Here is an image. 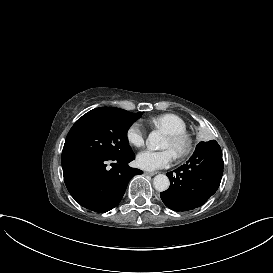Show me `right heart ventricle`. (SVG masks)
Segmentation results:
<instances>
[{
  "instance_id": "obj_1",
  "label": "right heart ventricle",
  "mask_w": 273,
  "mask_h": 273,
  "mask_svg": "<svg viewBox=\"0 0 273 273\" xmlns=\"http://www.w3.org/2000/svg\"><path fill=\"white\" fill-rule=\"evenodd\" d=\"M147 123L151 126L163 128L166 133L186 132L188 126L185 119L176 113L152 116L147 120Z\"/></svg>"
}]
</instances>
